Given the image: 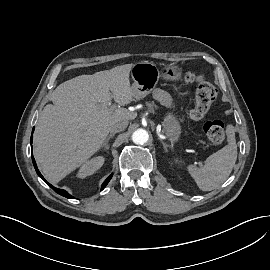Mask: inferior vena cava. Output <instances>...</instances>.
<instances>
[{
  "label": "inferior vena cava",
  "instance_id": "obj_1",
  "mask_svg": "<svg viewBox=\"0 0 270 270\" xmlns=\"http://www.w3.org/2000/svg\"><path fill=\"white\" fill-rule=\"evenodd\" d=\"M127 126H128V121L116 122L112 124V126L110 127V132L117 133V132L123 131L127 128Z\"/></svg>",
  "mask_w": 270,
  "mask_h": 270
}]
</instances>
